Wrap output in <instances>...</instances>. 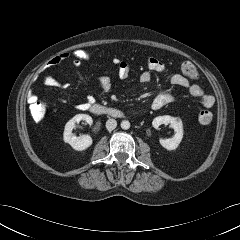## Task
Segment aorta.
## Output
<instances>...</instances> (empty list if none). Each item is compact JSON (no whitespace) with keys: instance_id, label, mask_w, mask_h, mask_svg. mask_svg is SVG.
<instances>
[{"instance_id":"aorta-1","label":"aorta","mask_w":240,"mask_h":240,"mask_svg":"<svg viewBox=\"0 0 240 240\" xmlns=\"http://www.w3.org/2000/svg\"><path fill=\"white\" fill-rule=\"evenodd\" d=\"M121 128L124 130H127L130 128V122L128 120H123L121 122Z\"/></svg>"}]
</instances>
